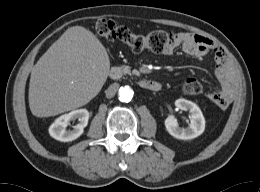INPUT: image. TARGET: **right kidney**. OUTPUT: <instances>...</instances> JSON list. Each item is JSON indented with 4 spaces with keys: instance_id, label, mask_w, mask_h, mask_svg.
<instances>
[{
    "instance_id": "right-kidney-1",
    "label": "right kidney",
    "mask_w": 260,
    "mask_h": 192,
    "mask_svg": "<svg viewBox=\"0 0 260 192\" xmlns=\"http://www.w3.org/2000/svg\"><path fill=\"white\" fill-rule=\"evenodd\" d=\"M78 120L79 123L74 126L73 130L67 131L66 127L70 121ZM89 120V112L87 109H77L70 113L63 114L58 117L49 127V134L54 139L61 142H70L80 137L87 126Z\"/></svg>"
}]
</instances>
